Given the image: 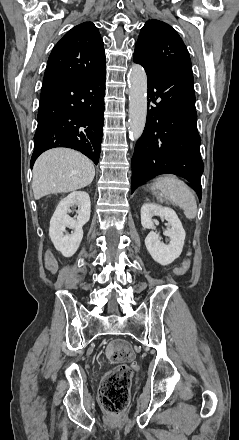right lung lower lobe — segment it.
<instances>
[{
	"label": "right lung lower lobe",
	"mask_w": 239,
	"mask_h": 440,
	"mask_svg": "<svg viewBox=\"0 0 239 440\" xmlns=\"http://www.w3.org/2000/svg\"><path fill=\"white\" fill-rule=\"evenodd\" d=\"M106 69L83 78L44 81L31 167L44 151L68 147L98 163L103 133Z\"/></svg>",
	"instance_id": "1"
}]
</instances>
